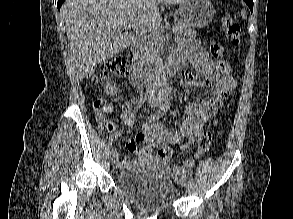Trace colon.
Wrapping results in <instances>:
<instances>
[{"label":"colon","instance_id":"1","mask_svg":"<svg viewBox=\"0 0 293 219\" xmlns=\"http://www.w3.org/2000/svg\"><path fill=\"white\" fill-rule=\"evenodd\" d=\"M222 26L225 34L231 39L233 44L237 45L241 42L240 26L232 16H224L222 18ZM210 50L213 58L215 59L218 70L223 74H230L229 63L224 57V47L220 44H215L211 46ZM131 60L132 56H119L113 58L107 63L104 69L93 78V80L95 82L104 80L110 73L117 76H126L129 72ZM93 109L100 128L111 131L113 129V123L110 119L105 117V113L111 111L112 105L103 100H97L93 104ZM212 139V133L209 131H205L200 135L198 140V148L193 160L201 157L210 148ZM157 154L160 160L168 162L172 157L173 150L170 145H165L158 150Z\"/></svg>","mask_w":293,"mask_h":219}]
</instances>
